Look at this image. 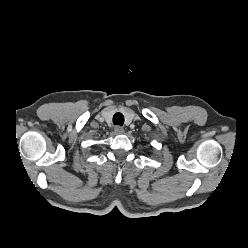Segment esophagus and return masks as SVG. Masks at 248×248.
Masks as SVG:
<instances>
[{
    "mask_svg": "<svg viewBox=\"0 0 248 248\" xmlns=\"http://www.w3.org/2000/svg\"><path fill=\"white\" fill-rule=\"evenodd\" d=\"M114 131L116 134H123L124 133V129L121 126H116Z\"/></svg>",
    "mask_w": 248,
    "mask_h": 248,
    "instance_id": "obj_1",
    "label": "esophagus"
}]
</instances>
